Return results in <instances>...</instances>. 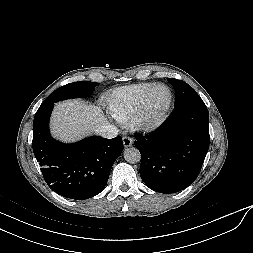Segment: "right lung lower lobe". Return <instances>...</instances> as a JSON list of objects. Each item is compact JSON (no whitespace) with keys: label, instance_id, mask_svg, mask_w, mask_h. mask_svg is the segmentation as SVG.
<instances>
[{"label":"right lung lower lobe","instance_id":"1","mask_svg":"<svg viewBox=\"0 0 253 253\" xmlns=\"http://www.w3.org/2000/svg\"><path fill=\"white\" fill-rule=\"evenodd\" d=\"M53 105L42 103L34 117L33 152L44 180L66 198L93 197L104 189L112 165L123 151L122 138L91 136L75 144L55 141L48 125Z\"/></svg>","mask_w":253,"mask_h":253}]
</instances>
